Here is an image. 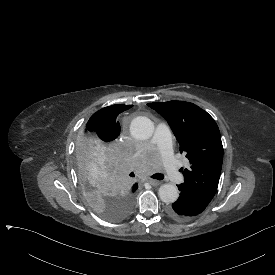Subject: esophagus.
I'll list each match as a JSON object with an SVG mask.
<instances>
[{"label": "esophagus", "mask_w": 275, "mask_h": 275, "mask_svg": "<svg viewBox=\"0 0 275 275\" xmlns=\"http://www.w3.org/2000/svg\"><path fill=\"white\" fill-rule=\"evenodd\" d=\"M148 183L152 186H158L160 184V182L158 180H155V179H149Z\"/></svg>", "instance_id": "1"}]
</instances>
